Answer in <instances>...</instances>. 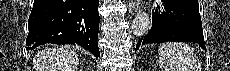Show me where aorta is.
Returning <instances> with one entry per match:
<instances>
[{"instance_id":"obj_1","label":"aorta","mask_w":230,"mask_h":71,"mask_svg":"<svg viewBox=\"0 0 230 71\" xmlns=\"http://www.w3.org/2000/svg\"><path fill=\"white\" fill-rule=\"evenodd\" d=\"M151 27V21L149 15L145 12L138 13L134 18L131 31L134 36L143 37L145 36Z\"/></svg>"}]
</instances>
